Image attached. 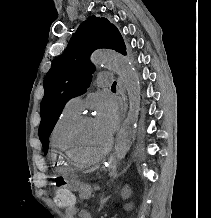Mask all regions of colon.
Returning <instances> with one entry per match:
<instances>
[{"label": "colon", "instance_id": "5ec220e1", "mask_svg": "<svg viewBox=\"0 0 211 218\" xmlns=\"http://www.w3.org/2000/svg\"><path fill=\"white\" fill-rule=\"evenodd\" d=\"M54 199L59 207L70 208L75 205V196L65 185H60L57 187L54 194Z\"/></svg>", "mask_w": 211, "mask_h": 218}]
</instances>
